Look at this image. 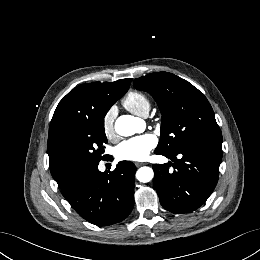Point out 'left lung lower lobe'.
I'll return each instance as SVG.
<instances>
[{
    "label": "left lung lower lobe",
    "instance_id": "left-lung-lower-lobe-1",
    "mask_svg": "<svg viewBox=\"0 0 260 260\" xmlns=\"http://www.w3.org/2000/svg\"><path fill=\"white\" fill-rule=\"evenodd\" d=\"M171 158L169 164H153L154 187L161 205L176 214L199 208L214 190L222 159L220 143H200L174 153L156 152ZM179 155L181 158L176 159Z\"/></svg>",
    "mask_w": 260,
    "mask_h": 260
}]
</instances>
